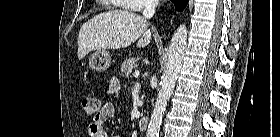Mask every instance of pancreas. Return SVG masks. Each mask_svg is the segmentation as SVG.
Returning a JSON list of instances; mask_svg holds the SVG:
<instances>
[{
    "mask_svg": "<svg viewBox=\"0 0 280 137\" xmlns=\"http://www.w3.org/2000/svg\"><path fill=\"white\" fill-rule=\"evenodd\" d=\"M137 67V60L135 58H129L122 63L121 71L124 73L125 77H130L132 71L137 69Z\"/></svg>",
    "mask_w": 280,
    "mask_h": 137,
    "instance_id": "obj_1",
    "label": "pancreas"
}]
</instances>
